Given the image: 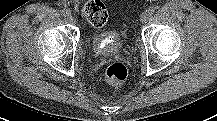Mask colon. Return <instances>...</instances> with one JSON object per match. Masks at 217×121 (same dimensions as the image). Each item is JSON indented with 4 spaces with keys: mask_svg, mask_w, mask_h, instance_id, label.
I'll return each mask as SVG.
<instances>
[{
    "mask_svg": "<svg viewBox=\"0 0 217 121\" xmlns=\"http://www.w3.org/2000/svg\"><path fill=\"white\" fill-rule=\"evenodd\" d=\"M82 14L84 18L93 27H102L106 24L108 19L107 8L100 0H88L82 5ZM128 76V70L122 63H113L106 69V81L114 86L123 83Z\"/></svg>",
    "mask_w": 217,
    "mask_h": 121,
    "instance_id": "1",
    "label": "colon"
}]
</instances>
